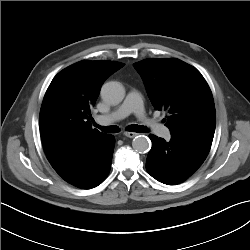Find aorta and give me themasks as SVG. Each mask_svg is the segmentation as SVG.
<instances>
[{
  "instance_id": "obj_1",
  "label": "aorta",
  "mask_w": 250,
  "mask_h": 250,
  "mask_svg": "<svg viewBox=\"0 0 250 250\" xmlns=\"http://www.w3.org/2000/svg\"><path fill=\"white\" fill-rule=\"evenodd\" d=\"M101 97L105 102L117 105L124 99L125 89L119 82H107L102 86ZM132 147L138 153H146L150 149V140L144 135L136 136L132 141Z\"/></svg>"
}]
</instances>
